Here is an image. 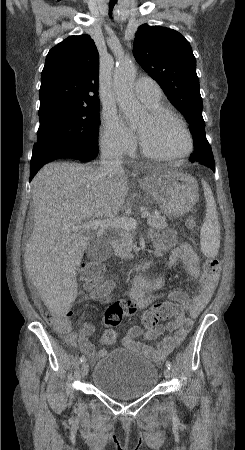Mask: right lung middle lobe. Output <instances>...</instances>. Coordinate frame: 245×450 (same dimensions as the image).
I'll list each match as a JSON object with an SVG mask.
<instances>
[{
  "mask_svg": "<svg viewBox=\"0 0 245 450\" xmlns=\"http://www.w3.org/2000/svg\"><path fill=\"white\" fill-rule=\"evenodd\" d=\"M39 119L37 147L31 162L51 153L98 150L96 131L99 105L78 107L53 104L39 109Z\"/></svg>",
  "mask_w": 245,
  "mask_h": 450,
  "instance_id": "obj_1",
  "label": "right lung middle lobe"
}]
</instances>
